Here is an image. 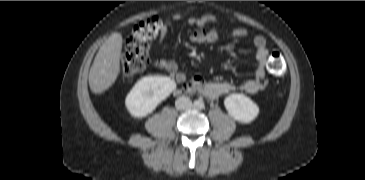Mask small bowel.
Here are the masks:
<instances>
[{"label":"small bowel","mask_w":365,"mask_h":180,"mask_svg":"<svg viewBox=\"0 0 365 180\" xmlns=\"http://www.w3.org/2000/svg\"><path fill=\"white\" fill-rule=\"evenodd\" d=\"M182 20L197 28L191 34V40L193 42L211 43L215 42L220 36V31L217 28L219 21L215 16L205 15L193 17L176 13L164 22L162 29L158 34V42L163 43L165 41L167 28L170 24ZM226 34L232 38H245L248 35V31L247 29L240 27L229 30ZM253 45L255 47V57L257 61L254 78L248 79L239 85L227 81L206 82L201 78H195L188 81L186 75L179 69L176 62L164 58L153 60V65L174 74L176 81L183 86L185 91L189 93H200L210 100H216L221 96L234 91L254 95L262 91L267 85L266 66L268 49L266 39L261 35H257L253 38ZM231 55L234 58L236 57V54L233 52Z\"/></svg>","instance_id":"c3829d8e"}]
</instances>
